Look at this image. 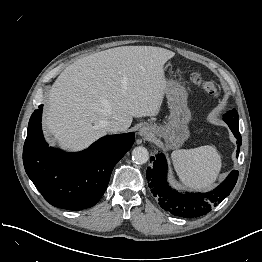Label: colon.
I'll return each instance as SVG.
<instances>
[{"label": "colon", "mask_w": 262, "mask_h": 262, "mask_svg": "<svg viewBox=\"0 0 262 262\" xmlns=\"http://www.w3.org/2000/svg\"><path fill=\"white\" fill-rule=\"evenodd\" d=\"M192 81H193L194 84H196L197 86L204 89L212 97H218L219 92H218L216 86L211 82H207V81L203 80L202 77L199 74H193L192 75Z\"/></svg>", "instance_id": "5ec220e1"}]
</instances>
